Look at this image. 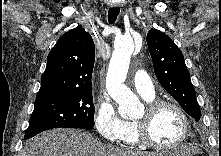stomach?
Listing matches in <instances>:
<instances>
[{
	"label": "stomach",
	"instance_id": "0dacf381",
	"mask_svg": "<svg viewBox=\"0 0 221 156\" xmlns=\"http://www.w3.org/2000/svg\"><path fill=\"white\" fill-rule=\"evenodd\" d=\"M155 156H186V155H184L183 148H180V149H175L173 153L160 154Z\"/></svg>",
	"mask_w": 221,
	"mask_h": 156
}]
</instances>
